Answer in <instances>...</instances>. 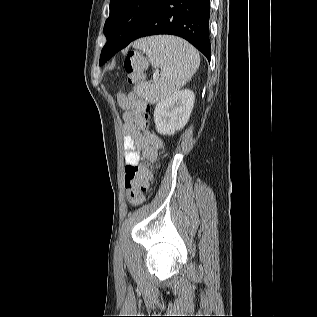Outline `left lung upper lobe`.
Here are the masks:
<instances>
[{"label":"left lung upper lobe","mask_w":317,"mask_h":317,"mask_svg":"<svg viewBox=\"0 0 317 317\" xmlns=\"http://www.w3.org/2000/svg\"><path fill=\"white\" fill-rule=\"evenodd\" d=\"M163 0H111L110 15L105 22L107 42L125 44L132 41L145 22ZM106 52L103 48L99 64H104Z\"/></svg>","instance_id":"obj_1"}]
</instances>
